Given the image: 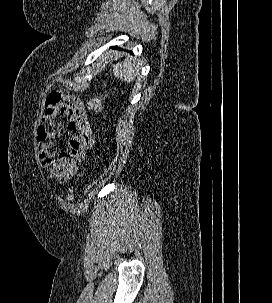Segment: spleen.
<instances>
[{
    "label": "spleen",
    "instance_id": "3e777b00",
    "mask_svg": "<svg viewBox=\"0 0 272 303\" xmlns=\"http://www.w3.org/2000/svg\"><path fill=\"white\" fill-rule=\"evenodd\" d=\"M139 69L140 67L135 61L132 62L131 60H124L123 62H118L113 67V74L117 78L130 83L138 75Z\"/></svg>",
    "mask_w": 272,
    "mask_h": 303
}]
</instances>
